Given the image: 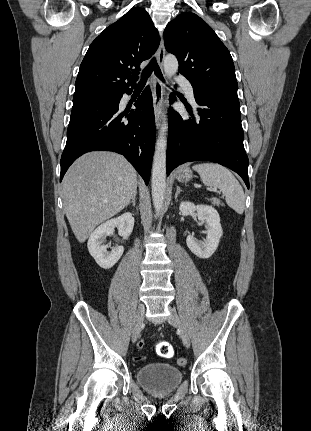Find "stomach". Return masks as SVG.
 Here are the masks:
<instances>
[{
    "label": "stomach",
    "mask_w": 311,
    "mask_h": 431,
    "mask_svg": "<svg viewBox=\"0 0 311 431\" xmlns=\"http://www.w3.org/2000/svg\"><path fill=\"white\" fill-rule=\"evenodd\" d=\"M176 178L178 182H182V184H184V182H190V180L193 178L192 170L187 168V166H182V168L178 170Z\"/></svg>",
    "instance_id": "1"
}]
</instances>
